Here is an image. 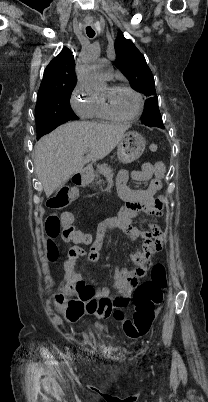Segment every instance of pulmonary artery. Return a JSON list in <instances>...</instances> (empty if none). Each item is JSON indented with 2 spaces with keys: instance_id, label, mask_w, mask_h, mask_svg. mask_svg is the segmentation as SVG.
Wrapping results in <instances>:
<instances>
[{
  "instance_id": "pulmonary-artery-1",
  "label": "pulmonary artery",
  "mask_w": 208,
  "mask_h": 402,
  "mask_svg": "<svg viewBox=\"0 0 208 402\" xmlns=\"http://www.w3.org/2000/svg\"><path fill=\"white\" fill-rule=\"evenodd\" d=\"M96 49V47H93L88 53L85 54H91L92 51H95ZM108 63L109 61L106 58H98L93 65V69L97 71L104 79H110L112 77V74L109 72Z\"/></svg>"
}]
</instances>
